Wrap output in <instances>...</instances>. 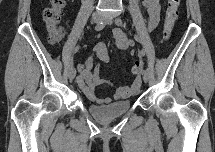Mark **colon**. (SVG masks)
Wrapping results in <instances>:
<instances>
[{
  "label": "colon",
  "instance_id": "1",
  "mask_svg": "<svg viewBox=\"0 0 215 152\" xmlns=\"http://www.w3.org/2000/svg\"><path fill=\"white\" fill-rule=\"evenodd\" d=\"M65 5V0H51L49 5L44 8L42 18L49 32V42L57 43L62 37V29L59 26L61 12ZM180 0H168L165 11V21L163 30V39L167 40L171 30L178 18ZM143 69L141 62H136L131 71L134 75H140Z\"/></svg>",
  "mask_w": 215,
  "mask_h": 152
}]
</instances>
